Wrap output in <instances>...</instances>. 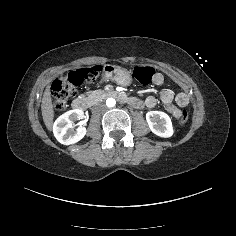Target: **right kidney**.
<instances>
[{
	"label": "right kidney",
	"instance_id": "ca27d5eb",
	"mask_svg": "<svg viewBox=\"0 0 236 236\" xmlns=\"http://www.w3.org/2000/svg\"><path fill=\"white\" fill-rule=\"evenodd\" d=\"M82 118H84L82 110H70L62 114L53 126L55 138L63 145H73L82 140L87 129L82 125H79L76 130L72 129V124Z\"/></svg>",
	"mask_w": 236,
	"mask_h": 236
}]
</instances>
